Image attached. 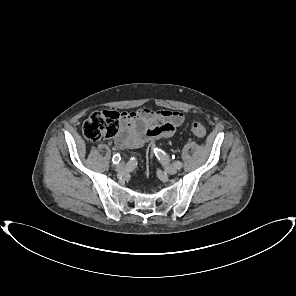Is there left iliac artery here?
Segmentation results:
<instances>
[{
	"mask_svg": "<svg viewBox=\"0 0 296 296\" xmlns=\"http://www.w3.org/2000/svg\"><path fill=\"white\" fill-rule=\"evenodd\" d=\"M154 153H155V155L157 156V158H159V159H163V158H164L165 153H164L161 149L155 148V149H154ZM174 165H175L178 169H180V168L182 167V162H180V161H176V162L174 163Z\"/></svg>",
	"mask_w": 296,
	"mask_h": 296,
	"instance_id": "obj_1",
	"label": "left iliac artery"
}]
</instances>
